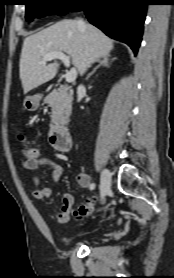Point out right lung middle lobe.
I'll use <instances>...</instances> for the list:
<instances>
[{"label": "right lung middle lobe", "mask_w": 174, "mask_h": 278, "mask_svg": "<svg viewBox=\"0 0 174 278\" xmlns=\"http://www.w3.org/2000/svg\"><path fill=\"white\" fill-rule=\"evenodd\" d=\"M26 20L46 15L67 14L79 0H25Z\"/></svg>", "instance_id": "1"}]
</instances>
